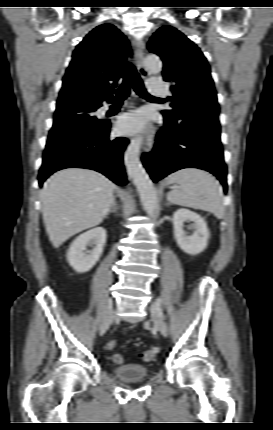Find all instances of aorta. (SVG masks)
Segmentation results:
<instances>
[{
  "mask_svg": "<svg viewBox=\"0 0 273 430\" xmlns=\"http://www.w3.org/2000/svg\"><path fill=\"white\" fill-rule=\"evenodd\" d=\"M144 63L151 74H158L162 70V62L157 55H148ZM141 143V137L132 139L126 149L124 160L127 173L137 187L144 210L151 216L158 206V198L156 189L139 160Z\"/></svg>",
  "mask_w": 273,
  "mask_h": 430,
  "instance_id": "762f6f07",
  "label": "aorta"
}]
</instances>
